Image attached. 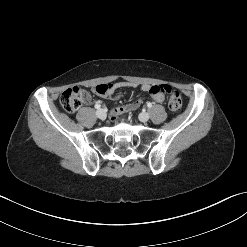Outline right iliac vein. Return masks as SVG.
<instances>
[{
	"label": "right iliac vein",
	"instance_id": "obj_1",
	"mask_svg": "<svg viewBox=\"0 0 247 247\" xmlns=\"http://www.w3.org/2000/svg\"><path fill=\"white\" fill-rule=\"evenodd\" d=\"M96 116L99 119H104L106 117V112L103 109H99L96 111Z\"/></svg>",
	"mask_w": 247,
	"mask_h": 247
}]
</instances>
